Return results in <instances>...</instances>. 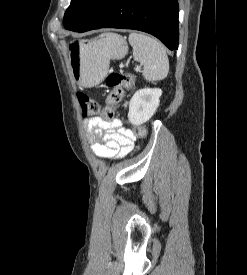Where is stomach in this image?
Returning a JSON list of instances; mask_svg holds the SVG:
<instances>
[{
  "mask_svg": "<svg viewBox=\"0 0 247 275\" xmlns=\"http://www.w3.org/2000/svg\"><path fill=\"white\" fill-rule=\"evenodd\" d=\"M103 44L95 42H73L69 45V68L75 82L83 87L100 83L109 69L111 59H122L128 52L125 38L105 34ZM101 38V37H100Z\"/></svg>",
  "mask_w": 247,
  "mask_h": 275,
  "instance_id": "stomach-1",
  "label": "stomach"
}]
</instances>
